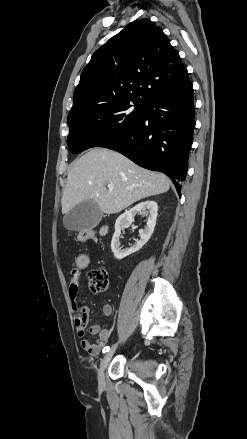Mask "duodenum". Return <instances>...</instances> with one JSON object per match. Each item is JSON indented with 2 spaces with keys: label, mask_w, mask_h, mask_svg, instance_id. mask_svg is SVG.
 Masks as SVG:
<instances>
[{
  "label": "duodenum",
  "mask_w": 247,
  "mask_h": 439,
  "mask_svg": "<svg viewBox=\"0 0 247 439\" xmlns=\"http://www.w3.org/2000/svg\"><path fill=\"white\" fill-rule=\"evenodd\" d=\"M107 230H108V228H107L106 226H104V227H102V229H101V233H102V234H106Z\"/></svg>",
  "instance_id": "410a0bca"
}]
</instances>
